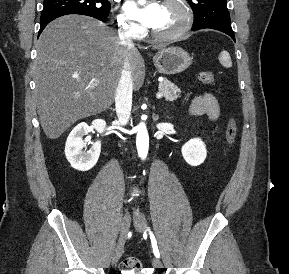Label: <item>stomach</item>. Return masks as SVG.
<instances>
[{
    "mask_svg": "<svg viewBox=\"0 0 289 274\" xmlns=\"http://www.w3.org/2000/svg\"><path fill=\"white\" fill-rule=\"evenodd\" d=\"M153 62L162 74L172 75L187 69L192 63V58L182 48L165 47L153 57Z\"/></svg>",
    "mask_w": 289,
    "mask_h": 274,
    "instance_id": "0dacf381",
    "label": "stomach"
}]
</instances>
